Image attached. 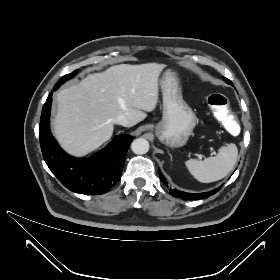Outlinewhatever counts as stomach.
<instances>
[{
    "mask_svg": "<svg viewBox=\"0 0 280 280\" xmlns=\"http://www.w3.org/2000/svg\"><path fill=\"white\" fill-rule=\"evenodd\" d=\"M163 117L155 126L158 139L171 148L184 146L197 124V117L182 96L175 69H167L161 79Z\"/></svg>",
    "mask_w": 280,
    "mask_h": 280,
    "instance_id": "1",
    "label": "stomach"
}]
</instances>
